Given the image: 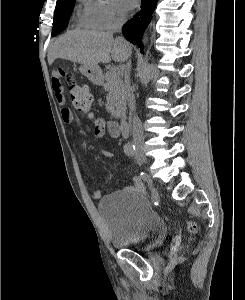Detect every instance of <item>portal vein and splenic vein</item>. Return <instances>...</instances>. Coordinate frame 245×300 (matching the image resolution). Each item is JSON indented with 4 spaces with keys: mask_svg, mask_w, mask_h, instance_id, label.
Instances as JSON below:
<instances>
[{
    "mask_svg": "<svg viewBox=\"0 0 245 300\" xmlns=\"http://www.w3.org/2000/svg\"><path fill=\"white\" fill-rule=\"evenodd\" d=\"M113 72H116L118 69L117 68H114V69H111Z\"/></svg>",
    "mask_w": 245,
    "mask_h": 300,
    "instance_id": "18ae733b",
    "label": "portal vein and splenic vein"
}]
</instances>
